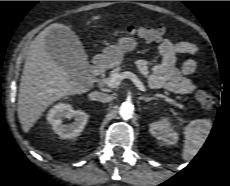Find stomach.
Here are the masks:
<instances>
[{"mask_svg": "<svg viewBox=\"0 0 230 186\" xmlns=\"http://www.w3.org/2000/svg\"><path fill=\"white\" fill-rule=\"evenodd\" d=\"M137 41L132 37H121L116 45H110L96 59L106 68H112L122 63L124 54L135 50Z\"/></svg>", "mask_w": 230, "mask_h": 186, "instance_id": "1", "label": "stomach"}]
</instances>
